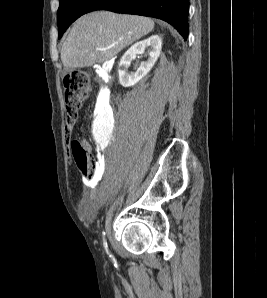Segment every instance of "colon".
<instances>
[{
	"instance_id": "1",
	"label": "colon",
	"mask_w": 267,
	"mask_h": 298,
	"mask_svg": "<svg viewBox=\"0 0 267 298\" xmlns=\"http://www.w3.org/2000/svg\"><path fill=\"white\" fill-rule=\"evenodd\" d=\"M89 89V79L85 72L75 71L64 78V95L67 114L66 130L75 124L79 110ZM72 158L86 179H92L96 171V160L78 140L71 143Z\"/></svg>"
}]
</instances>
